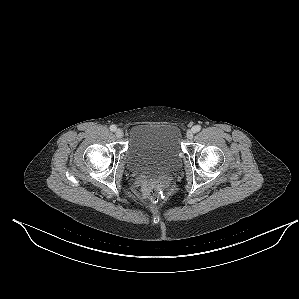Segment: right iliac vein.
I'll use <instances>...</instances> for the list:
<instances>
[{
	"label": "right iliac vein",
	"instance_id": "1",
	"mask_svg": "<svg viewBox=\"0 0 299 299\" xmlns=\"http://www.w3.org/2000/svg\"><path fill=\"white\" fill-rule=\"evenodd\" d=\"M115 135L117 138H122L123 137V131L121 129H117L115 132Z\"/></svg>",
	"mask_w": 299,
	"mask_h": 299
}]
</instances>
